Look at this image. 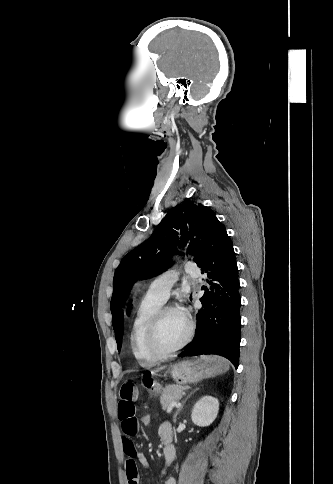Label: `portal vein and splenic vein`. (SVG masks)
I'll return each mask as SVG.
<instances>
[{
  "label": "portal vein and splenic vein",
  "mask_w": 333,
  "mask_h": 484,
  "mask_svg": "<svg viewBox=\"0 0 333 484\" xmlns=\"http://www.w3.org/2000/svg\"><path fill=\"white\" fill-rule=\"evenodd\" d=\"M174 406L178 408L180 406V403H175Z\"/></svg>",
  "instance_id": "obj_1"
}]
</instances>
